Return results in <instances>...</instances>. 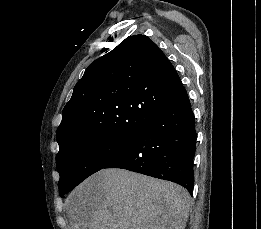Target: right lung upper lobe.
I'll use <instances>...</instances> for the list:
<instances>
[{
  "instance_id": "obj_1",
  "label": "right lung upper lobe",
  "mask_w": 261,
  "mask_h": 229,
  "mask_svg": "<svg viewBox=\"0 0 261 229\" xmlns=\"http://www.w3.org/2000/svg\"><path fill=\"white\" fill-rule=\"evenodd\" d=\"M181 87L173 65L153 41L129 36L86 69L63 109L57 141L62 146L85 136L133 138Z\"/></svg>"
}]
</instances>
